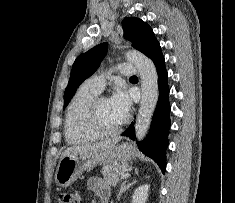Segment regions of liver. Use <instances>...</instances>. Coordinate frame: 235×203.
<instances>
[{"instance_id": "1", "label": "liver", "mask_w": 235, "mask_h": 203, "mask_svg": "<svg viewBox=\"0 0 235 203\" xmlns=\"http://www.w3.org/2000/svg\"><path fill=\"white\" fill-rule=\"evenodd\" d=\"M120 140H121L120 137H116L113 139H109V140L101 141V142H96V143H92V144H85V145H81V146L68 147L62 153L61 158H63L64 156L73 155V154H77L80 152H91V151H98V150L105 149V148H110V147L115 146V144L118 143Z\"/></svg>"}]
</instances>
